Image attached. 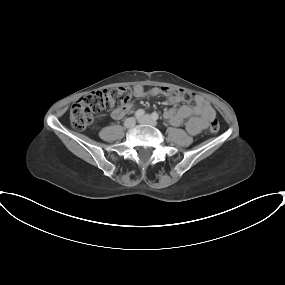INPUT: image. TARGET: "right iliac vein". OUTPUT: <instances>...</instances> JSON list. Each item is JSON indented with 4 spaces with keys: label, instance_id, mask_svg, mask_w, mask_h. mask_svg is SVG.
<instances>
[{
    "label": "right iliac vein",
    "instance_id": "right-iliac-vein-1",
    "mask_svg": "<svg viewBox=\"0 0 285 285\" xmlns=\"http://www.w3.org/2000/svg\"><path fill=\"white\" fill-rule=\"evenodd\" d=\"M135 125H136V119L133 117L128 118L124 123V126L126 128H133Z\"/></svg>",
    "mask_w": 285,
    "mask_h": 285
}]
</instances>
